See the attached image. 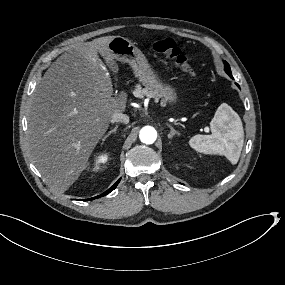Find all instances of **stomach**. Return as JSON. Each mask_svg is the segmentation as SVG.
Returning <instances> with one entry per match:
<instances>
[{
	"label": "stomach",
	"mask_w": 285,
	"mask_h": 285,
	"mask_svg": "<svg viewBox=\"0 0 285 285\" xmlns=\"http://www.w3.org/2000/svg\"><path fill=\"white\" fill-rule=\"evenodd\" d=\"M109 49L114 58L130 65L135 78L145 89L156 90L162 104L173 107L177 101L176 89L160 79L145 55L132 41L122 36H115L109 43Z\"/></svg>",
	"instance_id": "1"
}]
</instances>
